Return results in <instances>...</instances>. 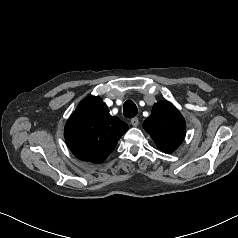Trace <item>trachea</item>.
<instances>
[{"instance_id":"trachea-1","label":"trachea","mask_w":238,"mask_h":238,"mask_svg":"<svg viewBox=\"0 0 238 238\" xmlns=\"http://www.w3.org/2000/svg\"><path fill=\"white\" fill-rule=\"evenodd\" d=\"M123 112L126 118H133L137 115L138 109L133 101L127 100L123 105Z\"/></svg>"}]
</instances>
